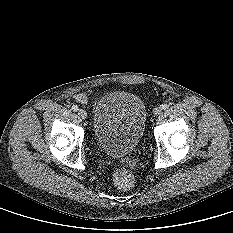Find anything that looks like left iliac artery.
<instances>
[{
    "label": "left iliac artery",
    "instance_id": "44dca946",
    "mask_svg": "<svg viewBox=\"0 0 233 233\" xmlns=\"http://www.w3.org/2000/svg\"><path fill=\"white\" fill-rule=\"evenodd\" d=\"M168 108H169V105H168V104H163V105H162V109H163V110H166V109H168Z\"/></svg>",
    "mask_w": 233,
    "mask_h": 233
}]
</instances>
